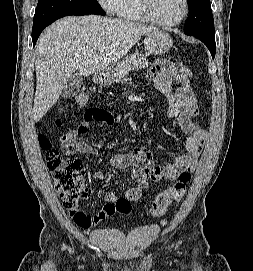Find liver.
I'll return each instance as SVG.
<instances>
[{"label":"liver","instance_id":"liver-1","mask_svg":"<svg viewBox=\"0 0 253 271\" xmlns=\"http://www.w3.org/2000/svg\"><path fill=\"white\" fill-rule=\"evenodd\" d=\"M155 30L153 26L97 15L69 16L47 27L35 46L34 122L57 102L75 72L80 76L104 72L143 35Z\"/></svg>","mask_w":253,"mask_h":271}]
</instances>
